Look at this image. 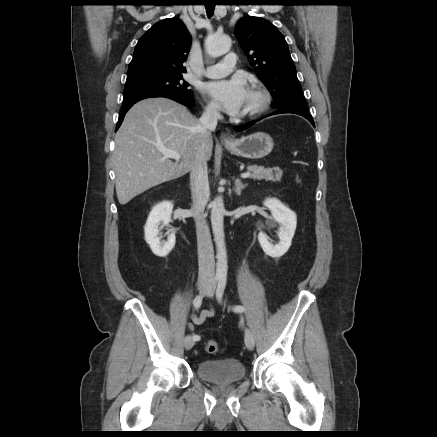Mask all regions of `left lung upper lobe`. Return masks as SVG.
<instances>
[{"label":"left lung upper lobe","mask_w":437,"mask_h":437,"mask_svg":"<svg viewBox=\"0 0 437 437\" xmlns=\"http://www.w3.org/2000/svg\"><path fill=\"white\" fill-rule=\"evenodd\" d=\"M235 36L273 95V108L308 111L288 45L278 29L268 20L247 16L237 22Z\"/></svg>","instance_id":"left-lung-upper-lobe-1"}]
</instances>
